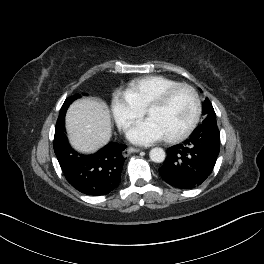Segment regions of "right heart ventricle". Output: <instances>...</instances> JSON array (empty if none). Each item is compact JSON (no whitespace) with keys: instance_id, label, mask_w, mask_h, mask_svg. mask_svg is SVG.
I'll list each match as a JSON object with an SVG mask.
<instances>
[{"instance_id":"e07e8e85","label":"right heart ventricle","mask_w":264,"mask_h":264,"mask_svg":"<svg viewBox=\"0 0 264 264\" xmlns=\"http://www.w3.org/2000/svg\"><path fill=\"white\" fill-rule=\"evenodd\" d=\"M179 84L162 75H149L133 80L126 89L128 97L141 109L146 107L167 88Z\"/></svg>"}]
</instances>
